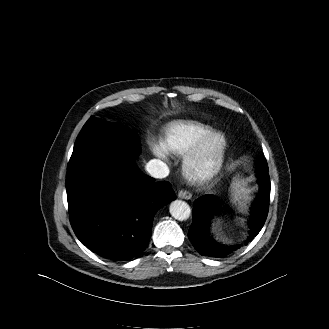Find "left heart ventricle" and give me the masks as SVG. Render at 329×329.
Returning <instances> with one entry per match:
<instances>
[{
	"label": "left heart ventricle",
	"mask_w": 329,
	"mask_h": 329,
	"mask_svg": "<svg viewBox=\"0 0 329 329\" xmlns=\"http://www.w3.org/2000/svg\"><path fill=\"white\" fill-rule=\"evenodd\" d=\"M216 142L211 143L198 162L200 168L210 166L216 158Z\"/></svg>",
	"instance_id": "left-heart-ventricle-1"
}]
</instances>
